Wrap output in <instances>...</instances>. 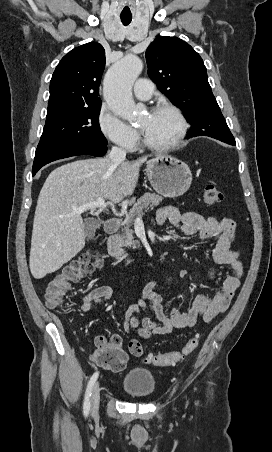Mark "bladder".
<instances>
[{
	"label": "bladder",
	"instance_id": "bladder-1",
	"mask_svg": "<svg viewBox=\"0 0 272 452\" xmlns=\"http://www.w3.org/2000/svg\"><path fill=\"white\" fill-rule=\"evenodd\" d=\"M122 388L132 398H147L156 389L154 375L146 368L133 367L125 373Z\"/></svg>",
	"mask_w": 272,
	"mask_h": 452
}]
</instances>
